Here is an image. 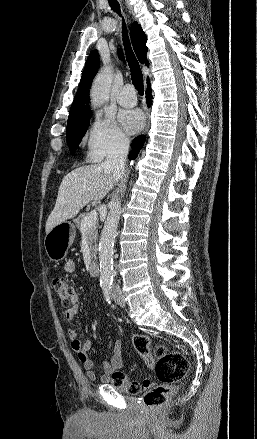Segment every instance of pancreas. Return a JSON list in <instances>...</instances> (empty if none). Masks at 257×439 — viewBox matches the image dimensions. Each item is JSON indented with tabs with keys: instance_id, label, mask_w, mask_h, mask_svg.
I'll return each instance as SVG.
<instances>
[{
	"instance_id": "pancreas-1",
	"label": "pancreas",
	"mask_w": 257,
	"mask_h": 439,
	"mask_svg": "<svg viewBox=\"0 0 257 439\" xmlns=\"http://www.w3.org/2000/svg\"><path fill=\"white\" fill-rule=\"evenodd\" d=\"M88 213H82L77 218H75L73 221L76 224V227L79 230H82V221L86 218ZM97 222H95L90 228L87 229L86 235L88 237V242L90 246V250L92 251V254L95 255L97 250V238H98V232H97ZM95 244V245H94Z\"/></svg>"
}]
</instances>
